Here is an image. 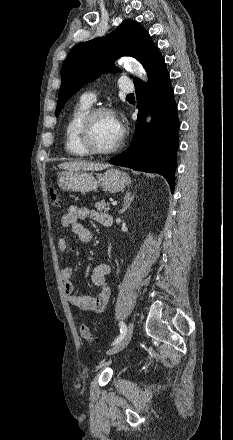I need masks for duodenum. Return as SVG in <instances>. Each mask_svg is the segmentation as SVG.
<instances>
[{
    "label": "duodenum",
    "instance_id": "1",
    "mask_svg": "<svg viewBox=\"0 0 233 440\" xmlns=\"http://www.w3.org/2000/svg\"><path fill=\"white\" fill-rule=\"evenodd\" d=\"M113 224L112 217H107L102 221V225L105 227H111Z\"/></svg>",
    "mask_w": 233,
    "mask_h": 440
}]
</instances>
